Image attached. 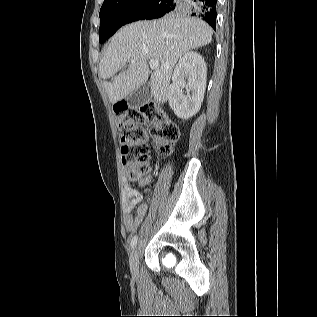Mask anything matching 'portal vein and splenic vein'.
Segmentation results:
<instances>
[{
	"label": "portal vein and splenic vein",
	"mask_w": 317,
	"mask_h": 317,
	"mask_svg": "<svg viewBox=\"0 0 317 317\" xmlns=\"http://www.w3.org/2000/svg\"><path fill=\"white\" fill-rule=\"evenodd\" d=\"M131 63H134V60H130ZM149 65L151 69H156L159 66V61L158 59H151L149 61Z\"/></svg>",
	"instance_id": "portal-vein-and-splenic-vein-1"
}]
</instances>
